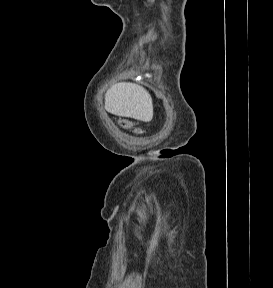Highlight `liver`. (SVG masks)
Listing matches in <instances>:
<instances>
[{
  "label": "liver",
  "mask_w": 273,
  "mask_h": 288,
  "mask_svg": "<svg viewBox=\"0 0 273 288\" xmlns=\"http://www.w3.org/2000/svg\"><path fill=\"white\" fill-rule=\"evenodd\" d=\"M105 109L119 116L150 122L153 118V104L149 92L131 82L112 85L105 93Z\"/></svg>",
  "instance_id": "1"
}]
</instances>
